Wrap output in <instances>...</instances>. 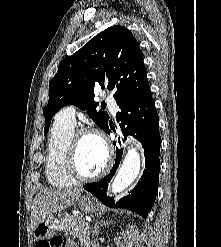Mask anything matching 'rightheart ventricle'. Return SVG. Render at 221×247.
<instances>
[{"instance_id": "1", "label": "right heart ventricle", "mask_w": 221, "mask_h": 247, "mask_svg": "<svg viewBox=\"0 0 221 247\" xmlns=\"http://www.w3.org/2000/svg\"><path fill=\"white\" fill-rule=\"evenodd\" d=\"M74 127L57 118L52 126L45 157V173L48 182L56 187H69L77 183L67 167V153Z\"/></svg>"}]
</instances>
